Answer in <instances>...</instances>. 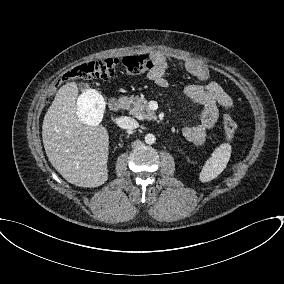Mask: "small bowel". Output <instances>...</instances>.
<instances>
[{
    "label": "small bowel",
    "instance_id": "1",
    "mask_svg": "<svg viewBox=\"0 0 284 284\" xmlns=\"http://www.w3.org/2000/svg\"><path fill=\"white\" fill-rule=\"evenodd\" d=\"M150 58L153 67L148 73V79L160 88L167 87L168 81L165 78V73L169 66L168 57L162 52L155 51L151 53ZM177 64L200 82H205L192 83L184 89L186 97L201 107V123L184 128L182 133L194 145L202 146L206 141L208 132L213 130L217 125L219 119L218 108L232 109L233 101L218 82H206L210 76V72L202 63L184 60L179 61Z\"/></svg>",
    "mask_w": 284,
    "mask_h": 284
}]
</instances>
